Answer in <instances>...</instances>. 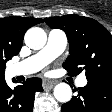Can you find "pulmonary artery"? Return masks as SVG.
<instances>
[{
    "label": "pulmonary artery",
    "instance_id": "obj_1",
    "mask_svg": "<svg viewBox=\"0 0 112 112\" xmlns=\"http://www.w3.org/2000/svg\"><path fill=\"white\" fill-rule=\"evenodd\" d=\"M67 43L66 35L61 30H51L45 47L35 55L11 66L10 73L13 76L29 75L39 71L50 61L59 56L65 49ZM79 87L87 84L85 76H80L76 80Z\"/></svg>",
    "mask_w": 112,
    "mask_h": 112
}]
</instances>
